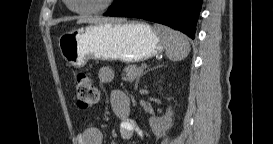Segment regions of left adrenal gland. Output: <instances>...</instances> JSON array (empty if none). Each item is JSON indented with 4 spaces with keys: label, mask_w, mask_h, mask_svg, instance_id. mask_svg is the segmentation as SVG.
Segmentation results:
<instances>
[{
    "label": "left adrenal gland",
    "mask_w": 273,
    "mask_h": 144,
    "mask_svg": "<svg viewBox=\"0 0 273 144\" xmlns=\"http://www.w3.org/2000/svg\"><path fill=\"white\" fill-rule=\"evenodd\" d=\"M145 74V73H144ZM138 83H139V79H137L136 83H135V89L138 88Z\"/></svg>",
    "instance_id": "1"
}]
</instances>
